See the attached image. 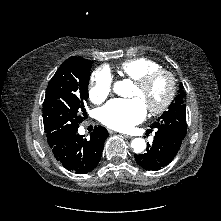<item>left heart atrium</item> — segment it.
Segmentation results:
<instances>
[{
  "label": "left heart atrium",
  "mask_w": 221,
  "mask_h": 221,
  "mask_svg": "<svg viewBox=\"0 0 221 221\" xmlns=\"http://www.w3.org/2000/svg\"><path fill=\"white\" fill-rule=\"evenodd\" d=\"M146 116V106L140 98L110 101L99 111L100 121L117 131H128Z\"/></svg>",
  "instance_id": "left-heart-atrium-1"
}]
</instances>
